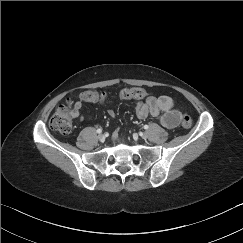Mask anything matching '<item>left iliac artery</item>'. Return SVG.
<instances>
[{
	"label": "left iliac artery",
	"mask_w": 243,
	"mask_h": 243,
	"mask_svg": "<svg viewBox=\"0 0 243 243\" xmlns=\"http://www.w3.org/2000/svg\"><path fill=\"white\" fill-rule=\"evenodd\" d=\"M149 128V126L148 125H144V129H148Z\"/></svg>",
	"instance_id": "left-iliac-artery-1"
}]
</instances>
